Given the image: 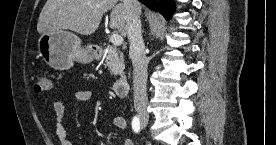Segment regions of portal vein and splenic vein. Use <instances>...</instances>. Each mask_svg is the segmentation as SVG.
Returning a JSON list of instances; mask_svg holds the SVG:
<instances>
[{
	"instance_id": "obj_1",
	"label": "portal vein and splenic vein",
	"mask_w": 276,
	"mask_h": 145,
	"mask_svg": "<svg viewBox=\"0 0 276 145\" xmlns=\"http://www.w3.org/2000/svg\"><path fill=\"white\" fill-rule=\"evenodd\" d=\"M109 39H110V42L115 46H119L123 43V38L119 34H113L109 37Z\"/></svg>"
}]
</instances>
